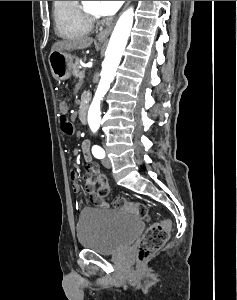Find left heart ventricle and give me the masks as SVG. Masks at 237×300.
Segmentation results:
<instances>
[{
	"label": "left heart ventricle",
	"instance_id": "obj_1",
	"mask_svg": "<svg viewBox=\"0 0 237 300\" xmlns=\"http://www.w3.org/2000/svg\"><path fill=\"white\" fill-rule=\"evenodd\" d=\"M83 4L92 12L102 15L100 10V1H84Z\"/></svg>",
	"mask_w": 237,
	"mask_h": 300
}]
</instances>
